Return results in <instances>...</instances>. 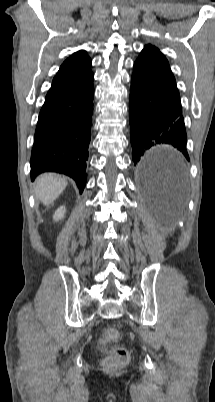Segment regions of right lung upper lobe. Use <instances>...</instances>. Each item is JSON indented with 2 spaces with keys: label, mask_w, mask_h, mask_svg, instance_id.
Returning a JSON list of instances; mask_svg holds the SVG:
<instances>
[{
  "label": "right lung upper lobe",
  "mask_w": 215,
  "mask_h": 402,
  "mask_svg": "<svg viewBox=\"0 0 215 402\" xmlns=\"http://www.w3.org/2000/svg\"><path fill=\"white\" fill-rule=\"evenodd\" d=\"M92 74L90 57L84 50L77 51L63 62L46 97L71 90Z\"/></svg>",
  "instance_id": "1"
}]
</instances>
